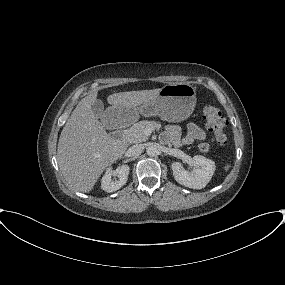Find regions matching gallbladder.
I'll return each instance as SVG.
<instances>
[{
	"label": "gallbladder",
	"mask_w": 285,
	"mask_h": 285,
	"mask_svg": "<svg viewBox=\"0 0 285 285\" xmlns=\"http://www.w3.org/2000/svg\"><path fill=\"white\" fill-rule=\"evenodd\" d=\"M91 109L93 111V114L97 118H103L104 115V104L101 100L97 99L92 105Z\"/></svg>",
	"instance_id": "1"
}]
</instances>
